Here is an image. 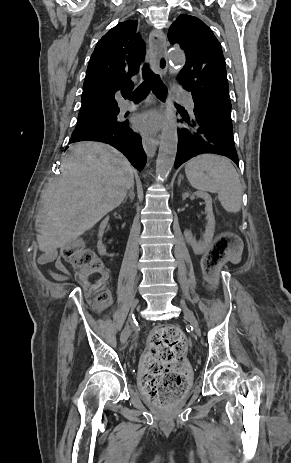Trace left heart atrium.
I'll use <instances>...</instances> for the list:
<instances>
[{"label": "left heart atrium", "instance_id": "left-heart-atrium-1", "mask_svg": "<svg viewBox=\"0 0 291 463\" xmlns=\"http://www.w3.org/2000/svg\"><path fill=\"white\" fill-rule=\"evenodd\" d=\"M161 117L155 112H148L138 116L134 121V127L141 133L150 134L159 129Z\"/></svg>", "mask_w": 291, "mask_h": 463}]
</instances>
